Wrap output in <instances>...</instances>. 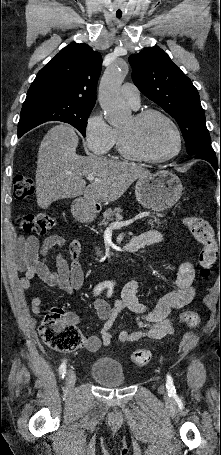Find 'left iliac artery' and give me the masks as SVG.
Segmentation results:
<instances>
[{"label": "left iliac artery", "instance_id": "obj_1", "mask_svg": "<svg viewBox=\"0 0 221 455\" xmlns=\"http://www.w3.org/2000/svg\"><path fill=\"white\" fill-rule=\"evenodd\" d=\"M112 294V288L110 287V289L108 290V296H110ZM166 387L168 390H173L175 389L174 385H173V379L170 375H167V383H166Z\"/></svg>", "mask_w": 221, "mask_h": 455}]
</instances>
